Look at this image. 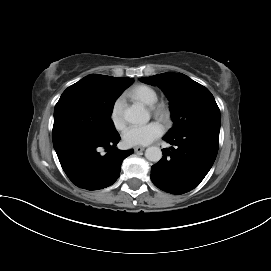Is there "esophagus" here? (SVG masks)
I'll return each mask as SVG.
<instances>
[{"mask_svg": "<svg viewBox=\"0 0 271 271\" xmlns=\"http://www.w3.org/2000/svg\"><path fill=\"white\" fill-rule=\"evenodd\" d=\"M144 150H145V147H142V146H136V147H134V151L136 153L142 152Z\"/></svg>", "mask_w": 271, "mask_h": 271, "instance_id": "34e87169", "label": "esophagus"}]
</instances>
